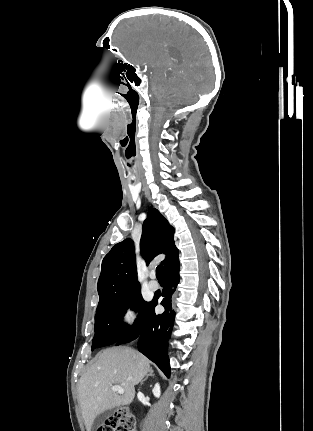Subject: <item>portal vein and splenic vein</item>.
Returning a JSON list of instances; mask_svg holds the SVG:
<instances>
[{
	"label": "portal vein and splenic vein",
	"instance_id": "obj_1",
	"mask_svg": "<svg viewBox=\"0 0 313 431\" xmlns=\"http://www.w3.org/2000/svg\"><path fill=\"white\" fill-rule=\"evenodd\" d=\"M111 389H112L113 392H117L119 394H123L124 393V390H123V388L120 385H114V386H112Z\"/></svg>",
	"mask_w": 313,
	"mask_h": 431
}]
</instances>
